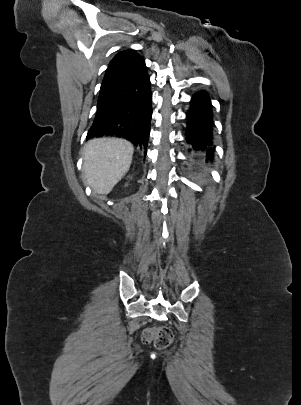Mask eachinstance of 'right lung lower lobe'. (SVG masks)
Here are the masks:
<instances>
[{"label": "right lung lower lobe", "instance_id": "right-lung-lower-lobe-1", "mask_svg": "<svg viewBox=\"0 0 301 405\" xmlns=\"http://www.w3.org/2000/svg\"><path fill=\"white\" fill-rule=\"evenodd\" d=\"M152 93L145 62L140 59L118 82L99 95L93 136L122 137L146 149L152 117Z\"/></svg>", "mask_w": 301, "mask_h": 405}]
</instances>
